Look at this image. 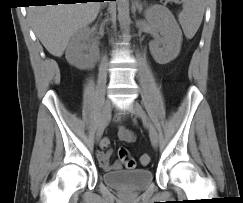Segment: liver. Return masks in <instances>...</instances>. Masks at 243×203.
<instances>
[{"instance_id":"liver-1","label":"liver","mask_w":243,"mask_h":203,"mask_svg":"<svg viewBox=\"0 0 243 203\" xmlns=\"http://www.w3.org/2000/svg\"><path fill=\"white\" fill-rule=\"evenodd\" d=\"M99 9L100 2L31 6L28 15L43 46L61 57L72 35L92 23Z\"/></svg>"}]
</instances>
